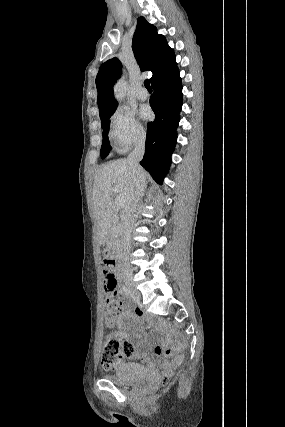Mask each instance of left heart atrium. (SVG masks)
Listing matches in <instances>:
<instances>
[{"label": "left heart atrium", "instance_id": "1", "mask_svg": "<svg viewBox=\"0 0 285 427\" xmlns=\"http://www.w3.org/2000/svg\"><path fill=\"white\" fill-rule=\"evenodd\" d=\"M141 116L143 117V118H148V117H150V110L148 109V108H143L142 109V111H141Z\"/></svg>", "mask_w": 285, "mask_h": 427}]
</instances>
